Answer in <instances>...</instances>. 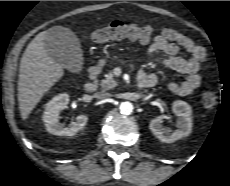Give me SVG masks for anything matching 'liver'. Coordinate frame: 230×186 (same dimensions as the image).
Here are the masks:
<instances>
[{
  "instance_id": "6515ba94",
  "label": "liver",
  "mask_w": 230,
  "mask_h": 186,
  "mask_svg": "<svg viewBox=\"0 0 230 186\" xmlns=\"http://www.w3.org/2000/svg\"><path fill=\"white\" fill-rule=\"evenodd\" d=\"M47 31H43L28 44L20 61L18 103L26 120L43 95L64 75L63 67L45 47Z\"/></svg>"
}]
</instances>
